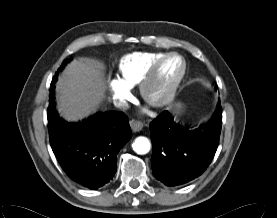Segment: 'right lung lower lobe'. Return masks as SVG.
<instances>
[{"label":"right lung lower lobe","instance_id":"1","mask_svg":"<svg viewBox=\"0 0 277 218\" xmlns=\"http://www.w3.org/2000/svg\"><path fill=\"white\" fill-rule=\"evenodd\" d=\"M56 79L50 90L53 103ZM48 122L52 150L68 177L92 190L113 178L117 154L132 136L123 112H99L82 122L68 123L55 111L48 112Z\"/></svg>","mask_w":277,"mask_h":218}]
</instances>
